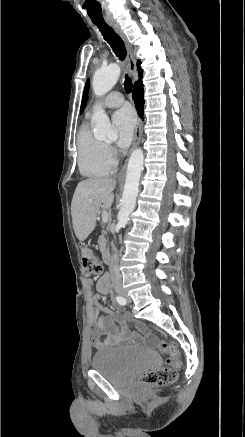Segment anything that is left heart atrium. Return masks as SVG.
Listing matches in <instances>:
<instances>
[{"instance_id": "39dd6f15", "label": "left heart atrium", "mask_w": 245, "mask_h": 437, "mask_svg": "<svg viewBox=\"0 0 245 437\" xmlns=\"http://www.w3.org/2000/svg\"><path fill=\"white\" fill-rule=\"evenodd\" d=\"M112 122L118 134L117 144L121 148L128 147L135 132L137 122L135 112L130 107H123L114 113Z\"/></svg>"}]
</instances>
